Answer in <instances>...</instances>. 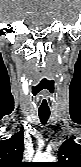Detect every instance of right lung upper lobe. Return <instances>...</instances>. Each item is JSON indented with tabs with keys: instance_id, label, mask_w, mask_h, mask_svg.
Returning <instances> with one entry per match:
<instances>
[{
	"instance_id": "obj_1",
	"label": "right lung upper lobe",
	"mask_w": 81,
	"mask_h": 167,
	"mask_svg": "<svg viewBox=\"0 0 81 167\" xmlns=\"http://www.w3.org/2000/svg\"><path fill=\"white\" fill-rule=\"evenodd\" d=\"M23 130L11 138L0 141V167H26L21 162L24 151Z\"/></svg>"
}]
</instances>
